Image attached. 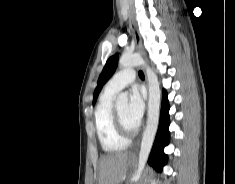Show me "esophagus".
<instances>
[{"label": "esophagus", "instance_id": "esophagus-1", "mask_svg": "<svg viewBox=\"0 0 235 184\" xmlns=\"http://www.w3.org/2000/svg\"><path fill=\"white\" fill-rule=\"evenodd\" d=\"M129 27L131 30V33L134 37V44H135V50L137 52H141V37L139 34V30L135 21V17L132 11H129ZM143 70L145 71V67H143ZM146 77V75H145ZM147 83V80H146ZM133 155H135V152L133 153Z\"/></svg>", "mask_w": 235, "mask_h": 184}]
</instances>
